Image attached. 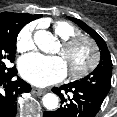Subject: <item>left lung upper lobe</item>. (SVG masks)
I'll return each instance as SVG.
<instances>
[{
	"label": "left lung upper lobe",
	"mask_w": 117,
	"mask_h": 117,
	"mask_svg": "<svg viewBox=\"0 0 117 117\" xmlns=\"http://www.w3.org/2000/svg\"><path fill=\"white\" fill-rule=\"evenodd\" d=\"M69 19L76 23L85 32L90 34L101 50L100 63L96 69L88 76L79 81H75L72 84L92 89L101 96L106 97L111 87L112 76V61L107 45L105 41L98 35V33L86 25L83 21L73 17H69Z\"/></svg>",
	"instance_id": "obj_1"
}]
</instances>
